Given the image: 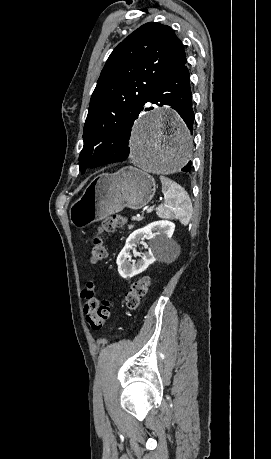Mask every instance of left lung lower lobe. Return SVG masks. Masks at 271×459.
I'll use <instances>...</instances> for the list:
<instances>
[{
	"label": "left lung lower lobe",
	"instance_id": "left-lung-lower-lobe-1",
	"mask_svg": "<svg viewBox=\"0 0 271 459\" xmlns=\"http://www.w3.org/2000/svg\"><path fill=\"white\" fill-rule=\"evenodd\" d=\"M146 102H151L158 106L170 105L172 106L183 118L187 127L193 129L194 112L192 110V93L190 88V73L187 65L185 64L179 68L174 74L162 82L148 97ZM150 110V109H149ZM131 129L126 134L129 143ZM129 147L124 155L115 161L123 162L128 159ZM191 169V162H189L181 170L189 172Z\"/></svg>",
	"mask_w": 271,
	"mask_h": 459
}]
</instances>
